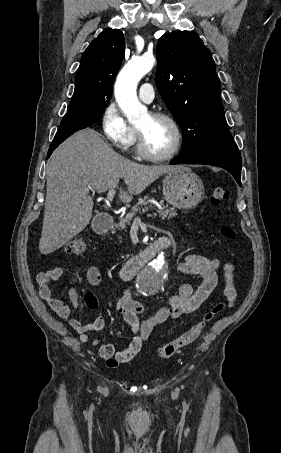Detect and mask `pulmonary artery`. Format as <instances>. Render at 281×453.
I'll use <instances>...</instances> for the list:
<instances>
[{
    "label": "pulmonary artery",
    "instance_id": "1",
    "mask_svg": "<svg viewBox=\"0 0 281 453\" xmlns=\"http://www.w3.org/2000/svg\"><path fill=\"white\" fill-rule=\"evenodd\" d=\"M152 85L150 83H144L140 86L139 89V99L143 102L150 104L154 99V94L150 92H145V90L151 88Z\"/></svg>",
    "mask_w": 281,
    "mask_h": 453
}]
</instances>
